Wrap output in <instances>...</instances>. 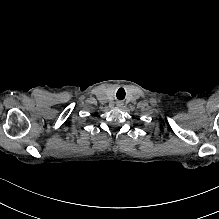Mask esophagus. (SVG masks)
<instances>
[{"label": "esophagus", "mask_w": 219, "mask_h": 219, "mask_svg": "<svg viewBox=\"0 0 219 219\" xmlns=\"http://www.w3.org/2000/svg\"><path fill=\"white\" fill-rule=\"evenodd\" d=\"M122 105H123L122 102H116V106H117V107H121Z\"/></svg>", "instance_id": "34e87169"}]
</instances>
